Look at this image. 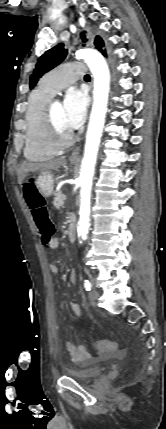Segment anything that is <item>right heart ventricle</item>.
I'll list each match as a JSON object with an SVG mask.
<instances>
[{"mask_svg": "<svg viewBox=\"0 0 166 429\" xmlns=\"http://www.w3.org/2000/svg\"><path fill=\"white\" fill-rule=\"evenodd\" d=\"M53 95L41 87H37L29 96L25 113L24 147V156L29 161H45L56 152L47 142L44 125L45 109Z\"/></svg>", "mask_w": 166, "mask_h": 429, "instance_id": "obj_1", "label": "right heart ventricle"}]
</instances>
